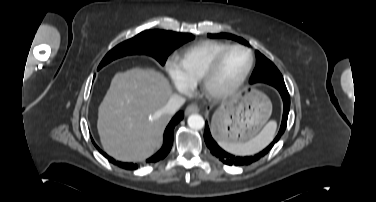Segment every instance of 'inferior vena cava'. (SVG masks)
<instances>
[{"label": "inferior vena cava", "mask_w": 376, "mask_h": 202, "mask_svg": "<svg viewBox=\"0 0 376 202\" xmlns=\"http://www.w3.org/2000/svg\"><path fill=\"white\" fill-rule=\"evenodd\" d=\"M185 102V99L179 95H173L162 109L163 113L173 115Z\"/></svg>", "instance_id": "602c4592"}]
</instances>
